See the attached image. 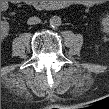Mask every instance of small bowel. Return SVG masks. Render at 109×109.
Instances as JSON below:
<instances>
[{
  "instance_id": "1",
  "label": "small bowel",
  "mask_w": 109,
  "mask_h": 109,
  "mask_svg": "<svg viewBox=\"0 0 109 109\" xmlns=\"http://www.w3.org/2000/svg\"><path fill=\"white\" fill-rule=\"evenodd\" d=\"M95 4H96L95 1H87V2H86V5H87V6H93V5H95Z\"/></svg>"
}]
</instances>
